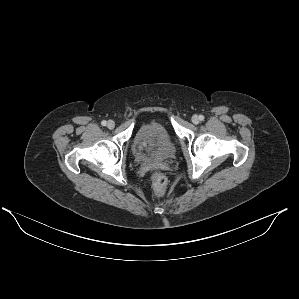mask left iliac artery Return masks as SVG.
<instances>
[{"mask_svg":"<svg viewBox=\"0 0 299 299\" xmlns=\"http://www.w3.org/2000/svg\"><path fill=\"white\" fill-rule=\"evenodd\" d=\"M199 120L203 121V120H204V116H203V115H200V116H199Z\"/></svg>","mask_w":299,"mask_h":299,"instance_id":"left-iliac-artery-1","label":"left iliac artery"}]
</instances>
